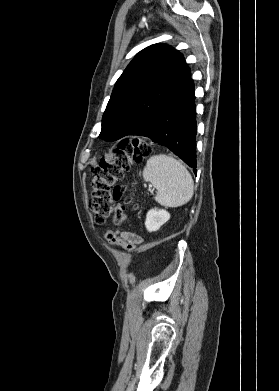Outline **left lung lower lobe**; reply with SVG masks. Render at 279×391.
Instances as JSON below:
<instances>
[{
    "label": "left lung lower lobe",
    "instance_id": "obj_1",
    "mask_svg": "<svg viewBox=\"0 0 279 391\" xmlns=\"http://www.w3.org/2000/svg\"><path fill=\"white\" fill-rule=\"evenodd\" d=\"M196 107L194 83L166 106L137 135L162 144L179 156L196 173Z\"/></svg>",
    "mask_w": 279,
    "mask_h": 391
}]
</instances>
